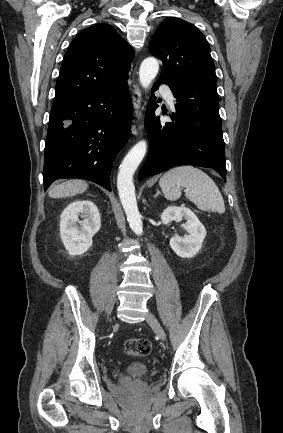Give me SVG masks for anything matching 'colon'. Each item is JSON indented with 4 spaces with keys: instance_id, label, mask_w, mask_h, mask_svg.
<instances>
[{
    "instance_id": "1",
    "label": "colon",
    "mask_w": 283,
    "mask_h": 433,
    "mask_svg": "<svg viewBox=\"0 0 283 433\" xmlns=\"http://www.w3.org/2000/svg\"><path fill=\"white\" fill-rule=\"evenodd\" d=\"M123 350L128 356L144 357L151 352L152 344L145 338H131L124 343Z\"/></svg>"
}]
</instances>
